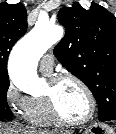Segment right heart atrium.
<instances>
[{"instance_id": "1", "label": "right heart atrium", "mask_w": 116, "mask_h": 134, "mask_svg": "<svg viewBox=\"0 0 116 134\" xmlns=\"http://www.w3.org/2000/svg\"><path fill=\"white\" fill-rule=\"evenodd\" d=\"M4 98L9 108L17 115H26L31 106V98L24 95L13 82H8Z\"/></svg>"}]
</instances>
